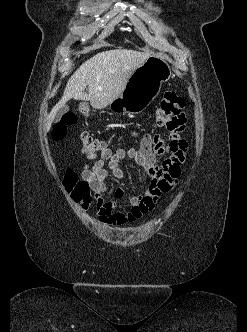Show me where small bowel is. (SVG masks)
<instances>
[{"label":"small bowel","mask_w":247,"mask_h":332,"mask_svg":"<svg viewBox=\"0 0 247 332\" xmlns=\"http://www.w3.org/2000/svg\"><path fill=\"white\" fill-rule=\"evenodd\" d=\"M180 133L181 131L171 133L167 145L158 137L145 134L140 139L138 149L121 147L114 152L105 149L83 167L81 177L95 193L100 222L112 226L133 222L152 210L160 196L175 186L181 176V167L187 151V143L181 138ZM164 154H168V157L158 162V157ZM124 159H132L143 167L147 173L148 183L142 195L130 199L129 210L117 211L114 204L104 200L102 195L107 189L106 180L109 172L118 180L125 177L119 166L120 161ZM123 194L121 188L116 190L117 198H121Z\"/></svg>","instance_id":"1"}]
</instances>
